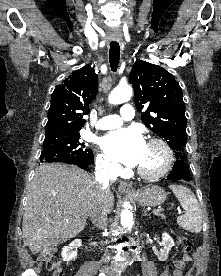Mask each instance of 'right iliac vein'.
I'll return each instance as SVG.
<instances>
[{
  "label": "right iliac vein",
  "mask_w": 221,
  "mask_h": 276,
  "mask_svg": "<svg viewBox=\"0 0 221 276\" xmlns=\"http://www.w3.org/2000/svg\"><path fill=\"white\" fill-rule=\"evenodd\" d=\"M103 271L108 272V269L104 267V268H103ZM108 276H109V275H108Z\"/></svg>",
  "instance_id": "obj_1"
}]
</instances>
